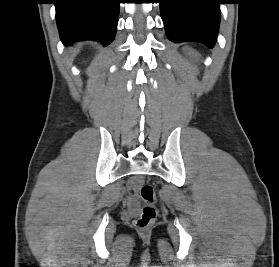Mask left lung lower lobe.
<instances>
[{"instance_id": "0a47b994", "label": "left lung lower lobe", "mask_w": 279, "mask_h": 267, "mask_svg": "<svg viewBox=\"0 0 279 267\" xmlns=\"http://www.w3.org/2000/svg\"><path fill=\"white\" fill-rule=\"evenodd\" d=\"M222 0H159L166 34L173 42H201L213 48Z\"/></svg>"}]
</instances>
